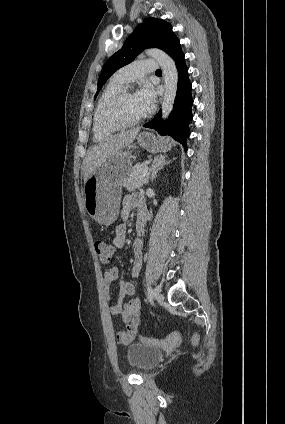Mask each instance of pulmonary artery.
Here are the masks:
<instances>
[{"label": "pulmonary artery", "instance_id": "e3ab8cb5", "mask_svg": "<svg viewBox=\"0 0 285 424\" xmlns=\"http://www.w3.org/2000/svg\"><path fill=\"white\" fill-rule=\"evenodd\" d=\"M158 62L152 59H139L119 69L113 79L122 84H127L146 74L153 73L158 69Z\"/></svg>", "mask_w": 285, "mask_h": 424}]
</instances>
